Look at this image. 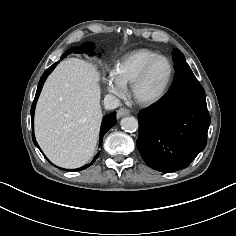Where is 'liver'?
<instances>
[{
    "label": "liver",
    "instance_id": "6515ba94",
    "mask_svg": "<svg viewBox=\"0 0 236 236\" xmlns=\"http://www.w3.org/2000/svg\"><path fill=\"white\" fill-rule=\"evenodd\" d=\"M99 73L76 58L62 61L47 78L35 110V136L48 159L78 168L93 156L102 119Z\"/></svg>",
    "mask_w": 236,
    "mask_h": 236
}]
</instances>
